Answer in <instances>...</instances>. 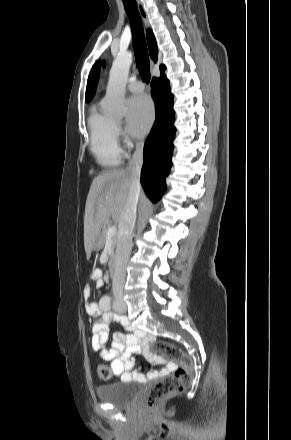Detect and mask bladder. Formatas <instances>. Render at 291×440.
<instances>
[{"label":"bladder","instance_id":"1","mask_svg":"<svg viewBox=\"0 0 291 440\" xmlns=\"http://www.w3.org/2000/svg\"><path fill=\"white\" fill-rule=\"evenodd\" d=\"M136 384L134 381L121 379L113 384L98 387L96 396L99 400L115 407H127L140 395V388Z\"/></svg>","mask_w":291,"mask_h":440}]
</instances>
